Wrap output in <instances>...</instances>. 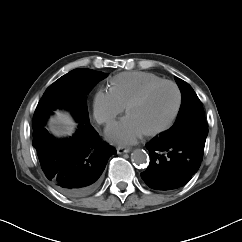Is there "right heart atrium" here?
I'll return each mask as SVG.
<instances>
[{
	"instance_id": "1",
	"label": "right heart atrium",
	"mask_w": 242,
	"mask_h": 242,
	"mask_svg": "<svg viewBox=\"0 0 242 242\" xmlns=\"http://www.w3.org/2000/svg\"><path fill=\"white\" fill-rule=\"evenodd\" d=\"M125 109L111 89H100L93 100V112L100 124H110Z\"/></svg>"
}]
</instances>
